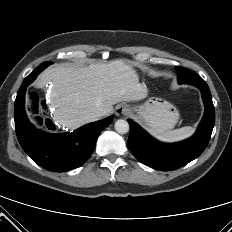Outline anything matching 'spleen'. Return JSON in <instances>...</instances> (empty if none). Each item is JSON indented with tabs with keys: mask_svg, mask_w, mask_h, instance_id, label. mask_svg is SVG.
<instances>
[{
	"mask_svg": "<svg viewBox=\"0 0 232 232\" xmlns=\"http://www.w3.org/2000/svg\"><path fill=\"white\" fill-rule=\"evenodd\" d=\"M193 133L194 129L191 126H186L163 134H158L156 138L162 142L173 143L185 140L192 136Z\"/></svg>",
	"mask_w": 232,
	"mask_h": 232,
	"instance_id": "3e777b00",
	"label": "spleen"
}]
</instances>
